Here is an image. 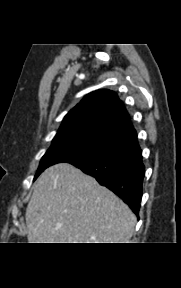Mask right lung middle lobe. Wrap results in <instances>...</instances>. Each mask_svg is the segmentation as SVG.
<instances>
[{
    "mask_svg": "<svg viewBox=\"0 0 181 288\" xmlns=\"http://www.w3.org/2000/svg\"><path fill=\"white\" fill-rule=\"evenodd\" d=\"M106 148L81 139L54 140L40 161L34 180L46 168L56 163H71L75 160L100 158L110 155Z\"/></svg>",
    "mask_w": 181,
    "mask_h": 288,
    "instance_id": "obj_1",
    "label": "right lung middle lobe"
}]
</instances>
